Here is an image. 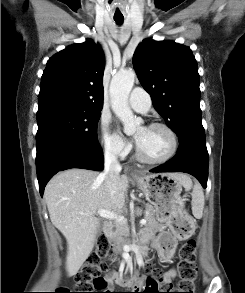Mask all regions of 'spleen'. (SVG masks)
Wrapping results in <instances>:
<instances>
[{"mask_svg": "<svg viewBox=\"0 0 245 293\" xmlns=\"http://www.w3.org/2000/svg\"><path fill=\"white\" fill-rule=\"evenodd\" d=\"M204 193L203 189L199 184H195L192 191V213L195 218L200 219L203 215L204 209Z\"/></svg>", "mask_w": 245, "mask_h": 293, "instance_id": "obj_1", "label": "spleen"}]
</instances>
